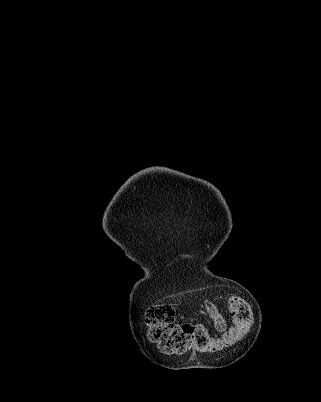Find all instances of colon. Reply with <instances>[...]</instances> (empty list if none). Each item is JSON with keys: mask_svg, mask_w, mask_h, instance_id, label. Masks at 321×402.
Segmentation results:
<instances>
[{"mask_svg": "<svg viewBox=\"0 0 321 402\" xmlns=\"http://www.w3.org/2000/svg\"><path fill=\"white\" fill-rule=\"evenodd\" d=\"M229 311L233 325L223 334L215 336L204 325L177 323L171 304H156L146 312L148 336L161 351L169 354H182L191 350L217 352L241 339L252 324L251 309L241 297L230 298Z\"/></svg>", "mask_w": 321, "mask_h": 402, "instance_id": "1", "label": "colon"}]
</instances>
